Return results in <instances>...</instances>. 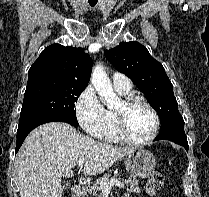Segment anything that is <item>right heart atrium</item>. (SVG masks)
<instances>
[{
  "label": "right heart atrium",
  "instance_id": "d8ad5b80",
  "mask_svg": "<svg viewBox=\"0 0 209 197\" xmlns=\"http://www.w3.org/2000/svg\"><path fill=\"white\" fill-rule=\"evenodd\" d=\"M75 110L84 131L93 137H102L108 123V110L91 86H87L80 93L75 103Z\"/></svg>",
  "mask_w": 209,
  "mask_h": 197
}]
</instances>
